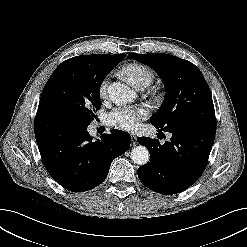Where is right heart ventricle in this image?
Returning <instances> with one entry per match:
<instances>
[{
    "mask_svg": "<svg viewBox=\"0 0 247 247\" xmlns=\"http://www.w3.org/2000/svg\"><path fill=\"white\" fill-rule=\"evenodd\" d=\"M122 71L135 87H138L142 83L149 85L154 78L153 72L141 64H129Z\"/></svg>",
    "mask_w": 247,
    "mask_h": 247,
    "instance_id": "right-heart-ventricle-1",
    "label": "right heart ventricle"
}]
</instances>
